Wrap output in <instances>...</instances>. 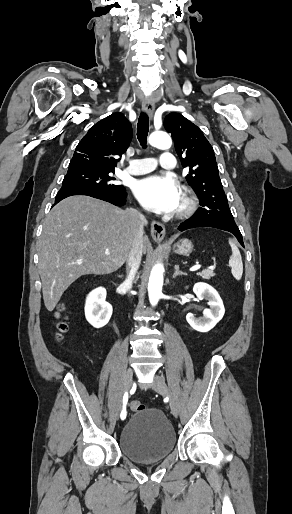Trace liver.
<instances>
[{
  "instance_id": "liver-1",
  "label": "liver",
  "mask_w": 292,
  "mask_h": 514,
  "mask_svg": "<svg viewBox=\"0 0 292 514\" xmlns=\"http://www.w3.org/2000/svg\"><path fill=\"white\" fill-rule=\"evenodd\" d=\"M128 212L90 196H70L46 216L38 268L48 312L80 276L112 274L123 266L136 236ZM142 244L146 252L147 238Z\"/></svg>"
}]
</instances>
